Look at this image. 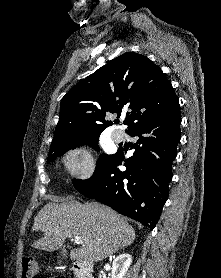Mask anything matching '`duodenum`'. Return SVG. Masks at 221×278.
Wrapping results in <instances>:
<instances>
[{
    "instance_id": "obj_1",
    "label": "duodenum",
    "mask_w": 221,
    "mask_h": 278,
    "mask_svg": "<svg viewBox=\"0 0 221 278\" xmlns=\"http://www.w3.org/2000/svg\"><path fill=\"white\" fill-rule=\"evenodd\" d=\"M93 266L87 261H76L73 264V271L77 278H93Z\"/></svg>"
}]
</instances>
